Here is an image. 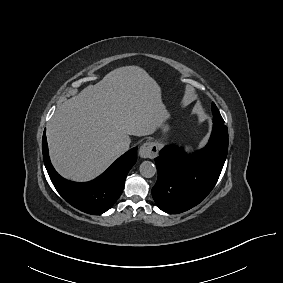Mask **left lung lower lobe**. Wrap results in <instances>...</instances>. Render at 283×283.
Listing matches in <instances>:
<instances>
[{
  "instance_id": "obj_1",
  "label": "left lung lower lobe",
  "mask_w": 283,
  "mask_h": 283,
  "mask_svg": "<svg viewBox=\"0 0 283 283\" xmlns=\"http://www.w3.org/2000/svg\"><path fill=\"white\" fill-rule=\"evenodd\" d=\"M227 152L228 130L216 117L209 143L202 150L186 154L177 147L165 146L155 158L158 179L152 196L157 206L177 214L203 201L220 176Z\"/></svg>"
}]
</instances>
